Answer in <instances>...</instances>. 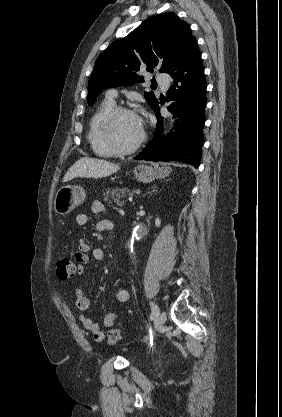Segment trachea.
Here are the masks:
<instances>
[{"mask_svg": "<svg viewBox=\"0 0 282 417\" xmlns=\"http://www.w3.org/2000/svg\"><path fill=\"white\" fill-rule=\"evenodd\" d=\"M153 86H157V84H153Z\"/></svg>", "mask_w": 282, "mask_h": 417, "instance_id": "trachea-1", "label": "trachea"}]
</instances>
